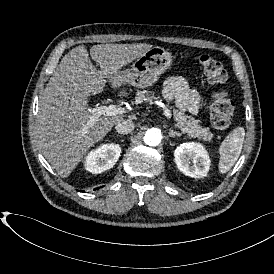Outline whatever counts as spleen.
I'll use <instances>...</instances> for the list:
<instances>
[{
	"label": "spleen",
	"mask_w": 274,
	"mask_h": 274,
	"mask_svg": "<svg viewBox=\"0 0 274 274\" xmlns=\"http://www.w3.org/2000/svg\"><path fill=\"white\" fill-rule=\"evenodd\" d=\"M245 139V129L241 126L234 128L218 147L220 159L219 174L227 173L238 160Z\"/></svg>",
	"instance_id": "1"
}]
</instances>
